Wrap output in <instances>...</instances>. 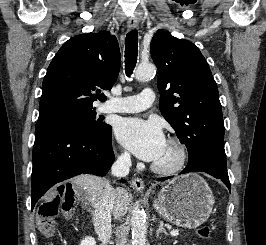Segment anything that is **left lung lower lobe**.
<instances>
[{
    "instance_id": "obj_1",
    "label": "left lung lower lobe",
    "mask_w": 266,
    "mask_h": 245,
    "mask_svg": "<svg viewBox=\"0 0 266 245\" xmlns=\"http://www.w3.org/2000/svg\"><path fill=\"white\" fill-rule=\"evenodd\" d=\"M206 172L210 175H212L215 178L221 179L224 184L228 187L230 190V182L229 177L227 173V167L226 163L213 158V157H206L196 160L193 163L188 164L185 169L180 172L179 174L189 173V172ZM170 177L165 178H159L157 181H164L167 180Z\"/></svg>"
}]
</instances>
